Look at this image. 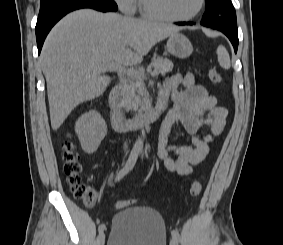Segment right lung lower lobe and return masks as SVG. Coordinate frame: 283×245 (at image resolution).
<instances>
[{
  "label": "right lung lower lobe",
  "mask_w": 283,
  "mask_h": 245,
  "mask_svg": "<svg viewBox=\"0 0 283 245\" xmlns=\"http://www.w3.org/2000/svg\"><path fill=\"white\" fill-rule=\"evenodd\" d=\"M81 8H93L108 12L116 11L117 5L113 0H67L41 8L35 28L38 53L42 49L47 34L56 22L67 13Z\"/></svg>",
  "instance_id": "98d812e1"
}]
</instances>
